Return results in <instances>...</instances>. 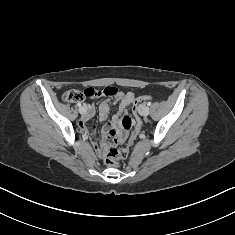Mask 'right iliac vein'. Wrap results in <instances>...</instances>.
Instances as JSON below:
<instances>
[{"label":"right iliac vein","mask_w":235,"mask_h":235,"mask_svg":"<svg viewBox=\"0 0 235 235\" xmlns=\"http://www.w3.org/2000/svg\"><path fill=\"white\" fill-rule=\"evenodd\" d=\"M79 112H80V114H81L82 116H85V115H86V109H85V107H80V108H79Z\"/></svg>","instance_id":"right-iliac-vein-1"}]
</instances>
